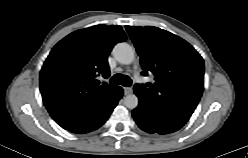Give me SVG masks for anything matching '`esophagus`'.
<instances>
[{"label": "esophagus", "instance_id": "obj_1", "mask_svg": "<svg viewBox=\"0 0 248 158\" xmlns=\"http://www.w3.org/2000/svg\"><path fill=\"white\" fill-rule=\"evenodd\" d=\"M124 95H129L132 93V89L129 87H123Z\"/></svg>", "mask_w": 248, "mask_h": 158}]
</instances>
